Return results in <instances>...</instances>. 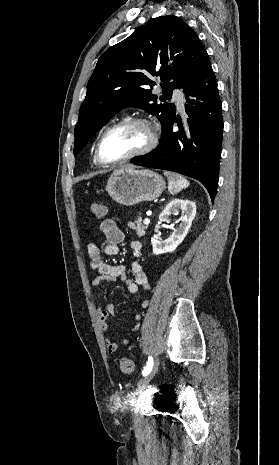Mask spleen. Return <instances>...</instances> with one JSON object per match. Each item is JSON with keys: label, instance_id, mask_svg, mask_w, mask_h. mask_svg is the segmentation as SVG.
<instances>
[{"label": "spleen", "instance_id": "3e777b00", "mask_svg": "<svg viewBox=\"0 0 279 465\" xmlns=\"http://www.w3.org/2000/svg\"><path fill=\"white\" fill-rule=\"evenodd\" d=\"M164 175L168 179V190L172 194H176L189 186V181L180 175L170 172H164Z\"/></svg>", "mask_w": 279, "mask_h": 465}]
</instances>
